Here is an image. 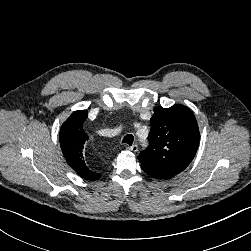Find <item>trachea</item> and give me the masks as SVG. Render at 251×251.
Here are the masks:
<instances>
[{"mask_svg":"<svg viewBox=\"0 0 251 251\" xmlns=\"http://www.w3.org/2000/svg\"><path fill=\"white\" fill-rule=\"evenodd\" d=\"M133 141H134V136L132 134H128L123 138L122 143H126L131 146Z\"/></svg>","mask_w":251,"mask_h":251,"instance_id":"obj_1","label":"trachea"}]
</instances>
